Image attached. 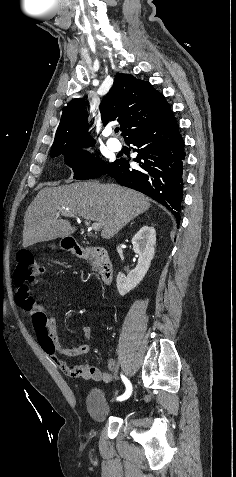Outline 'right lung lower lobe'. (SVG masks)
<instances>
[{
  "instance_id": "98d812e1",
  "label": "right lung lower lobe",
  "mask_w": 236,
  "mask_h": 477,
  "mask_svg": "<svg viewBox=\"0 0 236 477\" xmlns=\"http://www.w3.org/2000/svg\"><path fill=\"white\" fill-rule=\"evenodd\" d=\"M126 144L138 152L132 168L125 159L117 160L106 174L120 185L140 191L166 206L180 222L183 190L184 141L171 112L162 122L131 134Z\"/></svg>"
}]
</instances>
